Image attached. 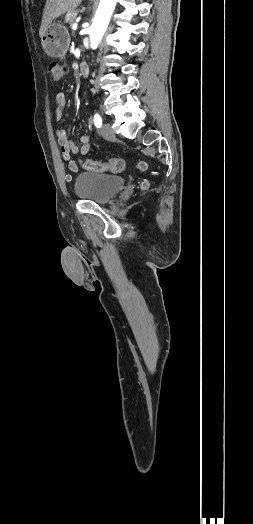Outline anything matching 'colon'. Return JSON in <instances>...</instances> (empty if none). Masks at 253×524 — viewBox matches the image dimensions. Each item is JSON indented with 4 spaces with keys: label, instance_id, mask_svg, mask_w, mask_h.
Masks as SVG:
<instances>
[{
    "label": "colon",
    "instance_id": "1",
    "mask_svg": "<svg viewBox=\"0 0 253 524\" xmlns=\"http://www.w3.org/2000/svg\"><path fill=\"white\" fill-rule=\"evenodd\" d=\"M49 72L54 81H59L66 74L67 68L62 63L52 62L49 64ZM83 167L88 171L94 172L120 173L125 168V161L123 158L120 157L112 158L107 162H100L88 159L83 162ZM139 167L144 169L146 168V164L144 162H140ZM147 186V181H143L141 187L146 188Z\"/></svg>",
    "mask_w": 253,
    "mask_h": 524
}]
</instances>
